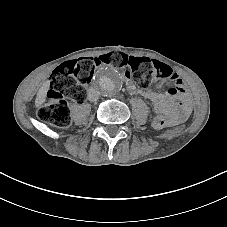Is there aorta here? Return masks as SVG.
I'll use <instances>...</instances> for the list:
<instances>
[{"label":"aorta","instance_id":"obj_1","mask_svg":"<svg viewBox=\"0 0 227 227\" xmlns=\"http://www.w3.org/2000/svg\"><path fill=\"white\" fill-rule=\"evenodd\" d=\"M93 85L103 96L111 97L122 88V77L119 71L113 67L99 68L94 75Z\"/></svg>","mask_w":227,"mask_h":227}]
</instances>
